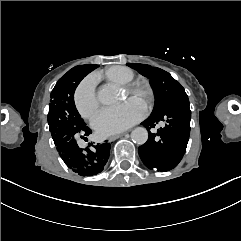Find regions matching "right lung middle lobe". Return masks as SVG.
Segmentation results:
<instances>
[{
    "instance_id": "right-lung-middle-lobe-1",
    "label": "right lung middle lobe",
    "mask_w": 241,
    "mask_h": 241,
    "mask_svg": "<svg viewBox=\"0 0 241 241\" xmlns=\"http://www.w3.org/2000/svg\"><path fill=\"white\" fill-rule=\"evenodd\" d=\"M91 65L93 69L99 66ZM82 68L83 65H79L69 70L58 80L51 92L48 124L56 146L65 137L76 138L82 134L86 126L74 103V92L79 84L77 80Z\"/></svg>"
}]
</instances>
